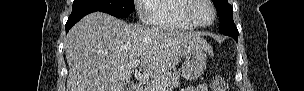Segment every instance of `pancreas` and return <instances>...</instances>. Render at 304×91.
I'll return each instance as SVG.
<instances>
[{"label": "pancreas", "instance_id": "1", "mask_svg": "<svg viewBox=\"0 0 304 91\" xmlns=\"http://www.w3.org/2000/svg\"><path fill=\"white\" fill-rule=\"evenodd\" d=\"M180 74L177 71L166 72L161 76L154 78L147 86V91H159L158 86L164 84L168 89L176 88L180 85L179 83Z\"/></svg>", "mask_w": 304, "mask_h": 91}]
</instances>
